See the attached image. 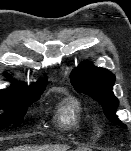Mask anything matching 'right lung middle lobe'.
<instances>
[{"mask_svg":"<svg viewBox=\"0 0 131 151\" xmlns=\"http://www.w3.org/2000/svg\"><path fill=\"white\" fill-rule=\"evenodd\" d=\"M45 88L40 90L5 89L0 90V107L6 110L0 118V129L13 123L19 126L28 107L38 100Z\"/></svg>","mask_w":131,"mask_h":151,"instance_id":"obj_1","label":"right lung middle lobe"}]
</instances>
